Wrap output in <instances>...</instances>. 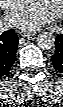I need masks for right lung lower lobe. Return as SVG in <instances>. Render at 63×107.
Listing matches in <instances>:
<instances>
[{"mask_svg": "<svg viewBox=\"0 0 63 107\" xmlns=\"http://www.w3.org/2000/svg\"><path fill=\"white\" fill-rule=\"evenodd\" d=\"M18 38L14 30L0 35V77L8 73L16 59Z\"/></svg>", "mask_w": 63, "mask_h": 107, "instance_id": "right-lung-lower-lobe-1", "label": "right lung lower lobe"}]
</instances>
